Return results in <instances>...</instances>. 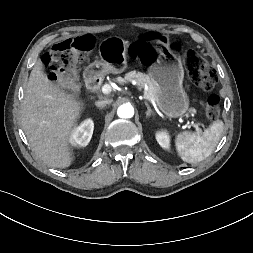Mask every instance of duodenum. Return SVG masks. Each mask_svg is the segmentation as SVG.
Segmentation results:
<instances>
[{"instance_id": "duodenum-1", "label": "duodenum", "mask_w": 253, "mask_h": 253, "mask_svg": "<svg viewBox=\"0 0 253 253\" xmlns=\"http://www.w3.org/2000/svg\"><path fill=\"white\" fill-rule=\"evenodd\" d=\"M87 87L90 91L95 92L99 87V79L93 75L87 78Z\"/></svg>"}]
</instances>
